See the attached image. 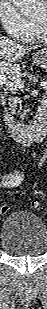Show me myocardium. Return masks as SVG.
<instances>
[{"label": "myocardium", "mask_w": 47, "mask_h": 309, "mask_svg": "<svg viewBox=\"0 0 47 309\" xmlns=\"http://www.w3.org/2000/svg\"><path fill=\"white\" fill-rule=\"evenodd\" d=\"M46 22H47V19H46ZM33 26H34L37 34L39 35V37H43L44 36V32L46 30L47 23H45V26L43 27L40 24H38L36 22H33Z\"/></svg>", "instance_id": "obj_1"}]
</instances>
